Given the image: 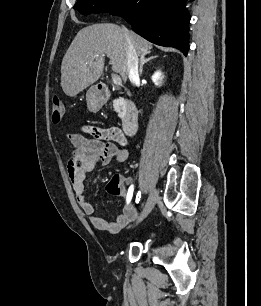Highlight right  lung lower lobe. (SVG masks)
Wrapping results in <instances>:
<instances>
[{
	"instance_id": "1",
	"label": "right lung lower lobe",
	"mask_w": 261,
	"mask_h": 306,
	"mask_svg": "<svg viewBox=\"0 0 261 306\" xmlns=\"http://www.w3.org/2000/svg\"><path fill=\"white\" fill-rule=\"evenodd\" d=\"M187 0H130L109 12L123 17L133 30L157 45L175 47L188 52Z\"/></svg>"
}]
</instances>
